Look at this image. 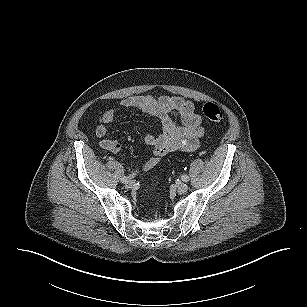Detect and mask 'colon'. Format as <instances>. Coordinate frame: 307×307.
Instances as JSON below:
<instances>
[{
	"label": "colon",
	"instance_id": "5ec220e1",
	"mask_svg": "<svg viewBox=\"0 0 307 307\" xmlns=\"http://www.w3.org/2000/svg\"><path fill=\"white\" fill-rule=\"evenodd\" d=\"M203 114L212 122L218 123L223 119V113L218 105L207 102L203 106Z\"/></svg>",
	"mask_w": 307,
	"mask_h": 307
}]
</instances>
